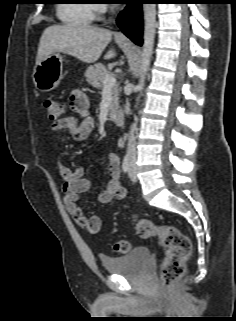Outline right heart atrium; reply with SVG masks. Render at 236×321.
<instances>
[{
  "label": "right heart atrium",
  "mask_w": 236,
  "mask_h": 321,
  "mask_svg": "<svg viewBox=\"0 0 236 321\" xmlns=\"http://www.w3.org/2000/svg\"><path fill=\"white\" fill-rule=\"evenodd\" d=\"M107 11V6L104 3L94 5L93 16L99 17Z\"/></svg>",
  "instance_id": "right-heart-atrium-1"
}]
</instances>
